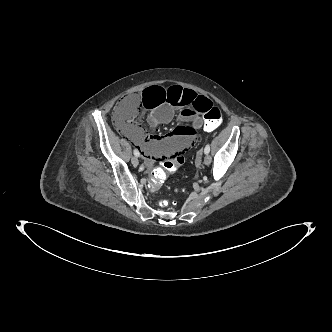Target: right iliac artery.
Here are the masks:
<instances>
[{"instance_id": "obj_1", "label": "right iliac artery", "mask_w": 332, "mask_h": 332, "mask_svg": "<svg viewBox=\"0 0 332 332\" xmlns=\"http://www.w3.org/2000/svg\"><path fill=\"white\" fill-rule=\"evenodd\" d=\"M134 155H135L136 157H139V156H140V153H139V151H138L137 149H134Z\"/></svg>"}]
</instances>
